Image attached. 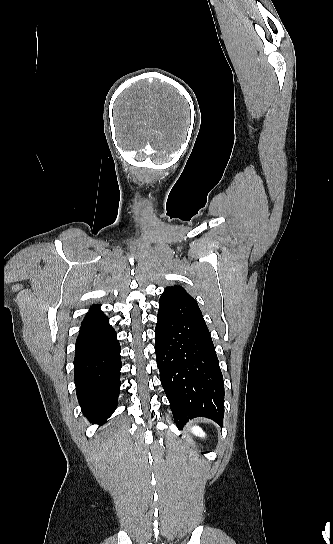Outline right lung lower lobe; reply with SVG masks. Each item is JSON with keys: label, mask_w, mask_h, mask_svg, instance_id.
I'll return each instance as SVG.
<instances>
[{"label": "right lung lower lobe", "mask_w": 333, "mask_h": 544, "mask_svg": "<svg viewBox=\"0 0 333 544\" xmlns=\"http://www.w3.org/2000/svg\"><path fill=\"white\" fill-rule=\"evenodd\" d=\"M106 315L82 322L76 340L74 380L83 415L102 425L120 393L121 347Z\"/></svg>", "instance_id": "1"}]
</instances>
